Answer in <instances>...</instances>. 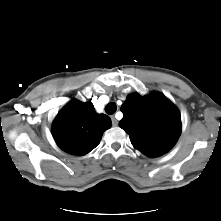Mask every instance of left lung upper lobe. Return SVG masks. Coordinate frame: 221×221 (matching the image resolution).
<instances>
[{
	"label": "left lung upper lobe",
	"mask_w": 221,
	"mask_h": 221,
	"mask_svg": "<svg viewBox=\"0 0 221 221\" xmlns=\"http://www.w3.org/2000/svg\"><path fill=\"white\" fill-rule=\"evenodd\" d=\"M124 114L119 126L129 135L134 148L149 157L167 153L181 133L178 109L163 94L128 95L121 106Z\"/></svg>",
	"instance_id": "left-lung-upper-lobe-1"
}]
</instances>
